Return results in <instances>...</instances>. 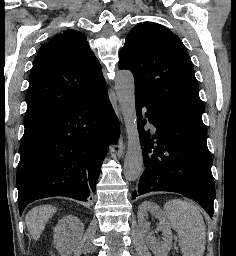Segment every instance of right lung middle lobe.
I'll use <instances>...</instances> for the list:
<instances>
[{"instance_id": "1", "label": "right lung middle lobe", "mask_w": 236, "mask_h": 256, "mask_svg": "<svg viewBox=\"0 0 236 256\" xmlns=\"http://www.w3.org/2000/svg\"><path fill=\"white\" fill-rule=\"evenodd\" d=\"M39 124L38 122H26L25 123V131L24 132H28L30 130H32L33 128L37 127Z\"/></svg>"}]
</instances>
